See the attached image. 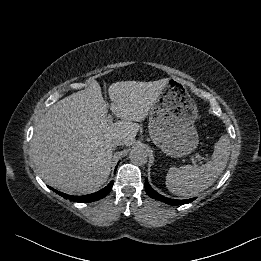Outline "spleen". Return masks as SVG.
I'll list each match as a JSON object with an SVG mask.
<instances>
[{
	"label": "spleen",
	"mask_w": 261,
	"mask_h": 261,
	"mask_svg": "<svg viewBox=\"0 0 261 261\" xmlns=\"http://www.w3.org/2000/svg\"><path fill=\"white\" fill-rule=\"evenodd\" d=\"M230 147L229 137L223 135L215 143L211 160L204 165L171 167L166 175L167 189L177 196L189 197L209 188L227 166Z\"/></svg>",
	"instance_id": "spleen-1"
}]
</instances>
